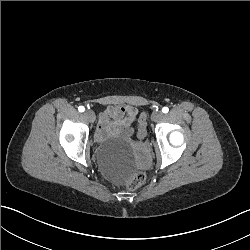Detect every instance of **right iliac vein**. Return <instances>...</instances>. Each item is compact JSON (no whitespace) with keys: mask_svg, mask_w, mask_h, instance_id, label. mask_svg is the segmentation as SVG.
Masks as SVG:
<instances>
[{"mask_svg":"<svg viewBox=\"0 0 250 250\" xmlns=\"http://www.w3.org/2000/svg\"><path fill=\"white\" fill-rule=\"evenodd\" d=\"M83 116L88 119L90 122H93L95 119V115L92 111L86 110L83 114Z\"/></svg>","mask_w":250,"mask_h":250,"instance_id":"1","label":"right iliac vein"}]
</instances>
